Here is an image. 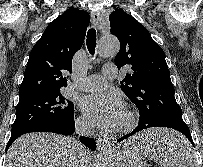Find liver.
Wrapping results in <instances>:
<instances>
[{"label":"liver","instance_id":"obj_1","mask_svg":"<svg viewBox=\"0 0 203 167\" xmlns=\"http://www.w3.org/2000/svg\"><path fill=\"white\" fill-rule=\"evenodd\" d=\"M156 131V130H153ZM170 135H177L174 131ZM151 133L149 136H152ZM146 138L139 136L129 139L138 144ZM81 145L70 137L51 133H28L19 137L9 148L4 167H81L79 156ZM84 167H90L86 150L82 147Z\"/></svg>","mask_w":203,"mask_h":167}]
</instances>
